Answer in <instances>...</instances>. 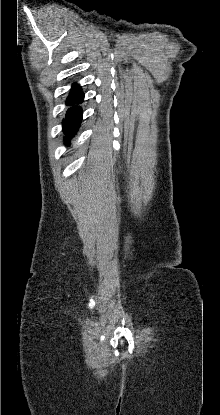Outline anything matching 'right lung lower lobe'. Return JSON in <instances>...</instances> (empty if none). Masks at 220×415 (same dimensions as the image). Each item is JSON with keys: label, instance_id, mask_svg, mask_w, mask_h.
<instances>
[{"label": "right lung lower lobe", "instance_id": "98d812e1", "mask_svg": "<svg viewBox=\"0 0 220 415\" xmlns=\"http://www.w3.org/2000/svg\"><path fill=\"white\" fill-rule=\"evenodd\" d=\"M84 94L79 86H73L69 96L66 99V104L70 106L67 110L65 120L63 121V131L66 134V142L74 136L82 119V110L78 104L82 103Z\"/></svg>", "mask_w": 220, "mask_h": 415}]
</instances>
